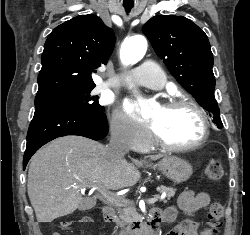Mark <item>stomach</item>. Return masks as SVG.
<instances>
[{"mask_svg":"<svg viewBox=\"0 0 250 235\" xmlns=\"http://www.w3.org/2000/svg\"><path fill=\"white\" fill-rule=\"evenodd\" d=\"M147 167L161 171L174 183L187 181L193 172L192 166L187 161L176 156L164 157L157 164H149Z\"/></svg>","mask_w":250,"mask_h":235,"instance_id":"1","label":"stomach"}]
</instances>
